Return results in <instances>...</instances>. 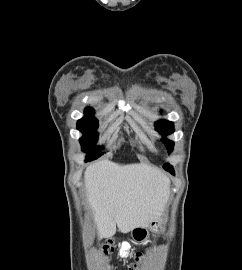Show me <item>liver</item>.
I'll list each match as a JSON object with an SVG mask.
<instances>
[{
	"instance_id": "liver-1",
	"label": "liver",
	"mask_w": 242,
	"mask_h": 270,
	"mask_svg": "<svg viewBox=\"0 0 242 270\" xmlns=\"http://www.w3.org/2000/svg\"><path fill=\"white\" fill-rule=\"evenodd\" d=\"M84 178L99 238L112 237L116 225L123 233L148 227L167 205L169 178L144 163L119 165L103 160L87 167Z\"/></svg>"
}]
</instances>
